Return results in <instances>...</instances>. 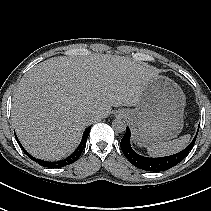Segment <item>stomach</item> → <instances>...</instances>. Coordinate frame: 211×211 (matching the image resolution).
Instances as JSON below:
<instances>
[{"mask_svg": "<svg viewBox=\"0 0 211 211\" xmlns=\"http://www.w3.org/2000/svg\"><path fill=\"white\" fill-rule=\"evenodd\" d=\"M186 97L180 86L168 77L156 75L145 86L134 109H120L129 123L133 140L151 146L177 137L183 129Z\"/></svg>", "mask_w": 211, "mask_h": 211, "instance_id": "0dacf381", "label": "stomach"}]
</instances>
